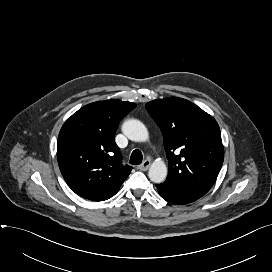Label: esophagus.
<instances>
[{
	"label": "esophagus",
	"instance_id": "1",
	"mask_svg": "<svg viewBox=\"0 0 272 272\" xmlns=\"http://www.w3.org/2000/svg\"><path fill=\"white\" fill-rule=\"evenodd\" d=\"M150 165L151 161L147 159L141 165L138 166V169L141 171H146L149 169Z\"/></svg>",
	"mask_w": 272,
	"mask_h": 272
}]
</instances>
